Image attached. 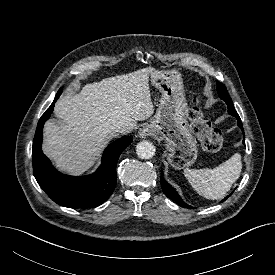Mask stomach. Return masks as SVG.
<instances>
[{"mask_svg":"<svg viewBox=\"0 0 275 275\" xmlns=\"http://www.w3.org/2000/svg\"><path fill=\"white\" fill-rule=\"evenodd\" d=\"M151 83L161 92V99L148 126L166 142L167 160L172 167H190L197 158V145L187 121L188 109L181 74L177 70H154Z\"/></svg>","mask_w":275,"mask_h":275,"instance_id":"1","label":"stomach"}]
</instances>
